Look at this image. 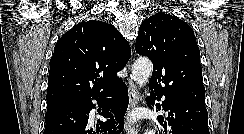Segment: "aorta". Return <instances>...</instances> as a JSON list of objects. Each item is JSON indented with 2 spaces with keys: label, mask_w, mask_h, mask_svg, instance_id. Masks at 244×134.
<instances>
[{
  "label": "aorta",
  "mask_w": 244,
  "mask_h": 134,
  "mask_svg": "<svg viewBox=\"0 0 244 134\" xmlns=\"http://www.w3.org/2000/svg\"><path fill=\"white\" fill-rule=\"evenodd\" d=\"M153 70V65L148 58H138L132 68L133 80L139 85L144 86L149 80ZM145 134H155L153 130H147Z\"/></svg>",
  "instance_id": "aorta-1"
}]
</instances>
